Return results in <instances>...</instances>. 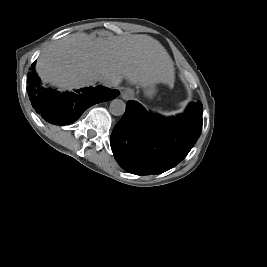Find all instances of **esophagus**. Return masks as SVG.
Returning <instances> with one entry per match:
<instances>
[{
	"label": "esophagus",
	"instance_id": "34e87169",
	"mask_svg": "<svg viewBox=\"0 0 267 267\" xmlns=\"http://www.w3.org/2000/svg\"><path fill=\"white\" fill-rule=\"evenodd\" d=\"M134 96V92L133 90L131 89H125L121 92V97L124 99V100H129L131 99L132 97Z\"/></svg>",
	"mask_w": 267,
	"mask_h": 267
}]
</instances>
